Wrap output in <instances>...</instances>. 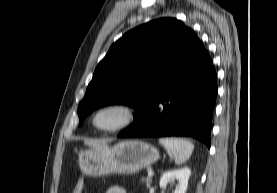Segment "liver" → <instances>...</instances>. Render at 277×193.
Listing matches in <instances>:
<instances>
[{
  "mask_svg": "<svg viewBox=\"0 0 277 193\" xmlns=\"http://www.w3.org/2000/svg\"><path fill=\"white\" fill-rule=\"evenodd\" d=\"M85 144L91 146L92 148H103L106 146L105 143H101L99 141H89V140L85 141Z\"/></svg>",
  "mask_w": 277,
  "mask_h": 193,
  "instance_id": "liver-1",
  "label": "liver"
}]
</instances>
